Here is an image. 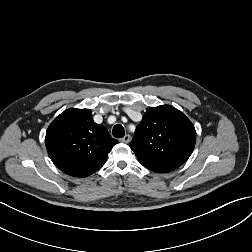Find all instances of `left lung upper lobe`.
<instances>
[{"label": "left lung upper lobe", "mask_w": 252, "mask_h": 252, "mask_svg": "<svg viewBox=\"0 0 252 252\" xmlns=\"http://www.w3.org/2000/svg\"><path fill=\"white\" fill-rule=\"evenodd\" d=\"M195 142L196 131L191 121L173 106L163 105L145 112L130 148L141 164L164 160L184 163Z\"/></svg>", "instance_id": "1"}]
</instances>
